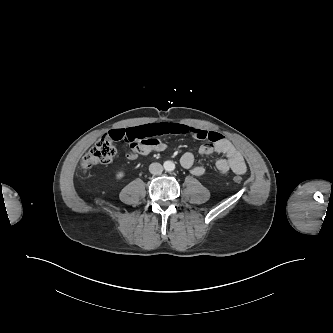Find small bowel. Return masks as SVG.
Listing matches in <instances>:
<instances>
[{
	"instance_id": "obj_1",
	"label": "small bowel",
	"mask_w": 333,
	"mask_h": 333,
	"mask_svg": "<svg viewBox=\"0 0 333 333\" xmlns=\"http://www.w3.org/2000/svg\"><path fill=\"white\" fill-rule=\"evenodd\" d=\"M166 134L190 135L193 138L205 141L198 151L201 155H223L224 157L216 162V169L222 175L229 172L243 175L247 171V165L241 153L222 134L181 123L160 122L114 129L105 134L104 137L112 141L128 143L130 151L127 153V158L134 160L140 154L162 150L164 146L157 137ZM180 162L183 168L189 170L195 176H202L205 173L203 166L195 164V158L191 152L184 153Z\"/></svg>"
}]
</instances>
